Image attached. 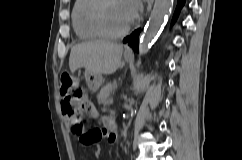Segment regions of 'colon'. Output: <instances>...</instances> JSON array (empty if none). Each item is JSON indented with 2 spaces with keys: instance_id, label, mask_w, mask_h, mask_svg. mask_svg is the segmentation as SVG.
<instances>
[{
  "instance_id": "obj_1",
  "label": "colon",
  "mask_w": 242,
  "mask_h": 160,
  "mask_svg": "<svg viewBox=\"0 0 242 160\" xmlns=\"http://www.w3.org/2000/svg\"><path fill=\"white\" fill-rule=\"evenodd\" d=\"M60 86L61 95L64 97L63 101L66 102L62 107L63 115L78 120L80 112L86 110L88 106L85 102L84 89L77 84L75 79L68 72L61 73ZM76 131L81 134V141L84 144H91L93 139L98 135V133L94 131L83 133L80 123L76 127Z\"/></svg>"
}]
</instances>
